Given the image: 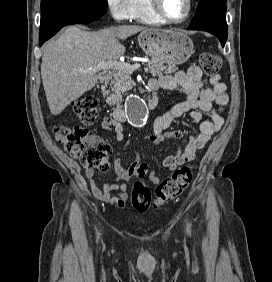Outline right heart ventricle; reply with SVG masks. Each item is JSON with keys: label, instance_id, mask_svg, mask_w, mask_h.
Wrapping results in <instances>:
<instances>
[{"label": "right heart ventricle", "instance_id": "1", "mask_svg": "<svg viewBox=\"0 0 272 282\" xmlns=\"http://www.w3.org/2000/svg\"><path fill=\"white\" fill-rule=\"evenodd\" d=\"M134 18L146 24H165L163 20L158 18L154 13L150 11V9L148 8V0H139V13L134 16Z\"/></svg>", "mask_w": 272, "mask_h": 282}]
</instances>
